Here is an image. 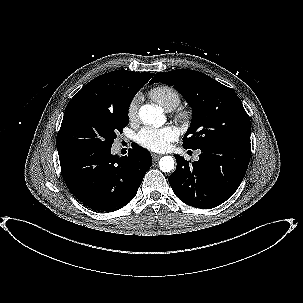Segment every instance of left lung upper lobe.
<instances>
[{
	"mask_svg": "<svg viewBox=\"0 0 303 303\" xmlns=\"http://www.w3.org/2000/svg\"><path fill=\"white\" fill-rule=\"evenodd\" d=\"M157 82L174 86L193 109L183 147L196 150L208 143H250V118L233 89L188 69L158 72L150 84Z\"/></svg>",
	"mask_w": 303,
	"mask_h": 303,
	"instance_id": "1",
	"label": "left lung upper lobe"
}]
</instances>
